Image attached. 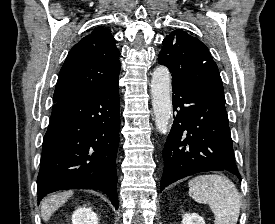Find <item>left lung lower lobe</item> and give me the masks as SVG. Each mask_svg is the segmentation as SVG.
I'll use <instances>...</instances> for the list:
<instances>
[{
  "label": "left lung lower lobe",
  "mask_w": 275,
  "mask_h": 224,
  "mask_svg": "<svg viewBox=\"0 0 275 224\" xmlns=\"http://www.w3.org/2000/svg\"><path fill=\"white\" fill-rule=\"evenodd\" d=\"M172 88L176 114L162 153L160 191L186 176L214 170L229 171L241 182L225 101L190 86Z\"/></svg>",
  "instance_id": "1"
}]
</instances>
